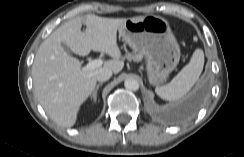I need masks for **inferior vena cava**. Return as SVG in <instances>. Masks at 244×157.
<instances>
[{
    "mask_svg": "<svg viewBox=\"0 0 244 157\" xmlns=\"http://www.w3.org/2000/svg\"><path fill=\"white\" fill-rule=\"evenodd\" d=\"M111 76H112V70L107 68H102L98 71L96 75V79L100 82H104L109 80Z\"/></svg>",
    "mask_w": 244,
    "mask_h": 157,
    "instance_id": "inferior-vena-cava-1",
    "label": "inferior vena cava"
}]
</instances>
